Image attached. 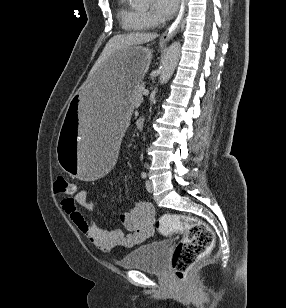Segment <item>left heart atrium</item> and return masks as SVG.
I'll use <instances>...</instances> for the list:
<instances>
[{
    "label": "left heart atrium",
    "instance_id": "39dd6f15",
    "mask_svg": "<svg viewBox=\"0 0 286 308\" xmlns=\"http://www.w3.org/2000/svg\"><path fill=\"white\" fill-rule=\"evenodd\" d=\"M178 3L179 0H153L152 10L157 17L168 19L175 14Z\"/></svg>",
    "mask_w": 286,
    "mask_h": 308
}]
</instances>
